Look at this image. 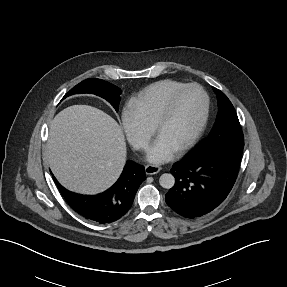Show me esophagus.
I'll return each instance as SVG.
<instances>
[{"label": "esophagus", "mask_w": 287, "mask_h": 287, "mask_svg": "<svg viewBox=\"0 0 287 287\" xmlns=\"http://www.w3.org/2000/svg\"><path fill=\"white\" fill-rule=\"evenodd\" d=\"M161 171V167L158 165H147L145 167V172L147 175H154Z\"/></svg>", "instance_id": "34e87169"}]
</instances>
